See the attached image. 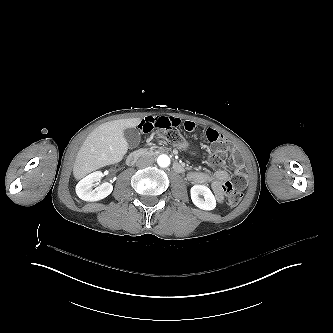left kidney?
Here are the masks:
<instances>
[{
  "label": "left kidney",
  "mask_w": 333,
  "mask_h": 333,
  "mask_svg": "<svg viewBox=\"0 0 333 333\" xmlns=\"http://www.w3.org/2000/svg\"><path fill=\"white\" fill-rule=\"evenodd\" d=\"M190 195L193 204L199 209L211 211L216 208V198L209 187L205 185H193L190 189ZM199 195H203L204 200L199 198Z\"/></svg>",
  "instance_id": "5707ae66"
}]
</instances>
